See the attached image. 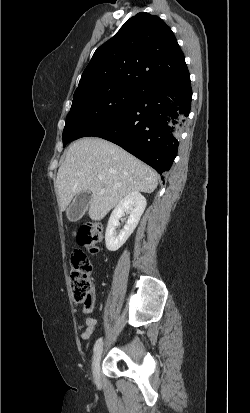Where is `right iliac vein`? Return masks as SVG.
<instances>
[{
	"mask_svg": "<svg viewBox=\"0 0 250 413\" xmlns=\"http://www.w3.org/2000/svg\"><path fill=\"white\" fill-rule=\"evenodd\" d=\"M102 351H103V347L100 346V348L95 352L93 356V361H92L93 377L95 381L97 382L100 380V361H101Z\"/></svg>",
	"mask_w": 250,
	"mask_h": 413,
	"instance_id": "63e3f726",
	"label": "right iliac vein"
}]
</instances>
